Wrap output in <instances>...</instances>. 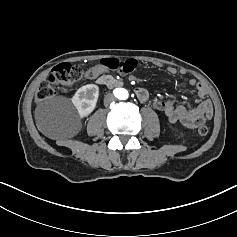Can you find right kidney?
<instances>
[{"mask_svg":"<svg viewBox=\"0 0 237 237\" xmlns=\"http://www.w3.org/2000/svg\"><path fill=\"white\" fill-rule=\"evenodd\" d=\"M99 96V88L95 84H87L79 88L72 98L81 118L88 116L94 109Z\"/></svg>","mask_w":237,"mask_h":237,"instance_id":"obj_1","label":"right kidney"}]
</instances>
